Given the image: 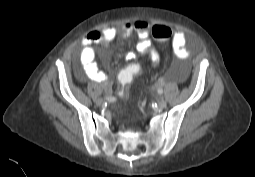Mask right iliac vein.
<instances>
[{"label":"right iliac vein","mask_w":255,"mask_h":177,"mask_svg":"<svg viewBox=\"0 0 255 177\" xmlns=\"http://www.w3.org/2000/svg\"><path fill=\"white\" fill-rule=\"evenodd\" d=\"M103 103H104V100L101 99V98L97 99V101H96V104H97L98 106L103 105Z\"/></svg>","instance_id":"obj_1"}]
</instances>
